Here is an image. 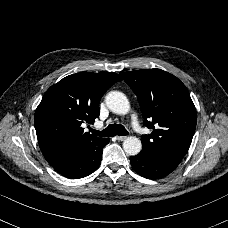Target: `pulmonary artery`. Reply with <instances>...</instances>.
I'll use <instances>...</instances> for the list:
<instances>
[{
	"mask_svg": "<svg viewBox=\"0 0 228 228\" xmlns=\"http://www.w3.org/2000/svg\"><path fill=\"white\" fill-rule=\"evenodd\" d=\"M131 122L132 129L136 130L138 134L143 135L146 133V128L142 126V122L139 119L133 118Z\"/></svg>",
	"mask_w": 228,
	"mask_h": 228,
	"instance_id": "1",
	"label": "pulmonary artery"
}]
</instances>
